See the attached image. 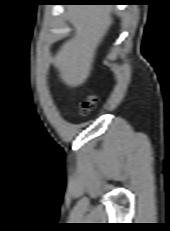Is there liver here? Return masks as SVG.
Returning a JSON list of instances; mask_svg holds the SVG:
<instances>
[{"mask_svg": "<svg viewBox=\"0 0 170 231\" xmlns=\"http://www.w3.org/2000/svg\"><path fill=\"white\" fill-rule=\"evenodd\" d=\"M67 13L75 30L74 37L61 46L52 63L66 85L77 87L89 77L97 47L113 20L111 8L103 5L73 6Z\"/></svg>", "mask_w": 170, "mask_h": 231, "instance_id": "obj_1", "label": "liver"}]
</instances>
